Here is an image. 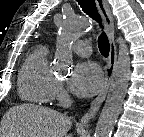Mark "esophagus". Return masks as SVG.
Listing matches in <instances>:
<instances>
[{
  "mask_svg": "<svg viewBox=\"0 0 144 137\" xmlns=\"http://www.w3.org/2000/svg\"><path fill=\"white\" fill-rule=\"evenodd\" d=\"M95 1L105 25V30L110 44V51L107 66L105 68L104 84L97 97L92 101L89 110L87 111V113L83 115V117L80 120V125L84 127L89 126L90 121L96 116L103 101L105 100V97L107 95L109 86L111 84L116 69V62H117V52L114 40L115 27L113 16L111 14L109 5L106 0H95Z\"/></svg>",
  "mask_w": 144,
  "mask_h": 137,
  "instance_id": "esophagus-1",
  "label": "esophagus"
}]
</instances>
